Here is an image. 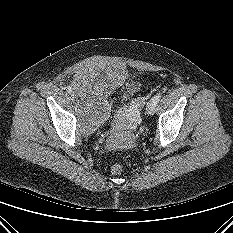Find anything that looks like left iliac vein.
Masks as SVG:
<instances>
[{"label": "left iliac vein", "instance_id": "4c4485c4", "mask_svg": "<svg viewBox=\"0 0 233 233\" xmlns=\"http://www.w3.org/2000/svg\"><path fill=\"white\" fill-rule=\"evenodd\" d=\"M155 107H156V104L151 100L149 101L148 105H147V114L148 115H153L154 112H155Z\"/></svg>", "mask_w": 233, "mask_h": 233}]
</instances>
